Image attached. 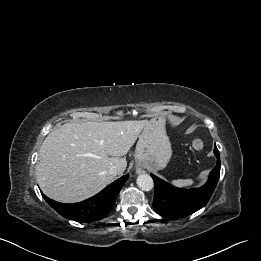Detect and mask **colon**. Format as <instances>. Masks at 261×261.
<instances>
[{
    "label": "colon",
    "mask_w": 261,
    "mask_h": 261,
    "mask_svg": "<svg viewBox=\"0 0 261 261\" xmlns=\"http://www.w3.org/2000/svg\"><path fill=\"white\" fill-rule=\"evenodd\" d=\"M204 144L200 138H196L192 142V149L194 151H200L203 148Z\"/></svg>",
    "instance_id": "1"
}]
</instances>
